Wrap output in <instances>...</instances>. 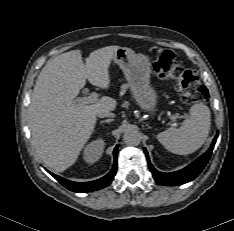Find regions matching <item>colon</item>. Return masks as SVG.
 I'll use <instances>...</instances> for the list:
<instances>
[{
    "label": "colon",
    "mask_w": 234,
    "mask_h": 231,
    "mask_svg": "<svg viewBox=\"0 0 234 231\" xmlns=\"http://www.w3.org/2000/svg\"><path fill=\"white\" fill-rule=\"evenodd\" d=\"M153 71L158 77L173 81L181 101L186 104L202 102L208 97V91L196 73L184 69L172 51L158 53Z\"/></svg>",
    "instance_id": "5ec220e1"
}]
</instances>
